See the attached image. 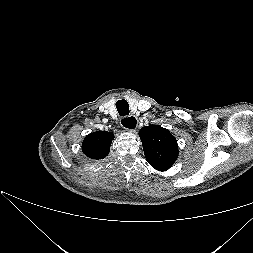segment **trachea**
<instances>
[{"mask_svg":"<svg viewBox=\"0 0 253 253\" xmlns=\"http://www.w3.org/2000/svg\"><path fill=\"white\" fill-rule=\"evenodd\" d=\"M116 108L120 116L129 115V104L126 100H118L116 102Z\"/></svg>","mask_w":253,"mask_h":253,"instance_id":"trachea-1","label":"trachea"}]
</instances>
